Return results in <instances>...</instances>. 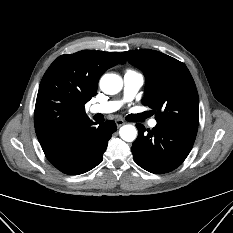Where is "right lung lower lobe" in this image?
I'll return each instance as SVG.
<instances>
[{"mask_svg": "<svg viewBox=\"0 0 233 233\" xmlns=\"http://www.w3.org/2000/svg\"><path fill=\"white\" fill-rule=\"evenodd\" d=\"M88 125L75 140L60 148L44 150L46 158L61 172L79 175L96 167L103 159V153L113 132L114 121Z\"/></svg>", "mask_w": 233, "mask_h": 233, "instance_id": "1", "label": "right lung lower lobe"}]
</instances>
